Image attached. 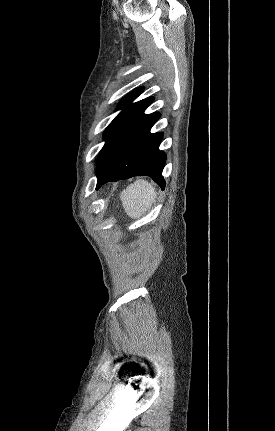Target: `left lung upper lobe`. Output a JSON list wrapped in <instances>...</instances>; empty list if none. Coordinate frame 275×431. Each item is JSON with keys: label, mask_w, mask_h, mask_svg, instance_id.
<instances>
[{"label": "left lung upper lobe", "mask_w": 275, "mask_h": 431, "mask_svg": "<svg viewBox=\"0 0 275 431\" xmlns=\"http://www.w3.org/2000/svg\"><path fill=\"white\" fill-rule=\"evenodd\" d=\"M141 92V88L136 89L119 103L117 110L122 111L104 132L106 142L98 157L97 174L104 172L119 152L159 114L158 112L144 114V111L153 102V97L133 103Z\"/></svg>", "instance_id": "5c2ea615"}]
</instances>
